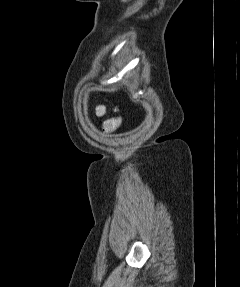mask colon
I'll return each mask as SVG.
<instances>
[{
  "label": "colon",
  "mask_w": 240,
  "mask_h": 287,
  "mask_svg": "<svg viewBox=\"0 0 240 287\" xmlns=\"http://www.w3.org/2000/svg\"><path fill=\"white\" fill-rule=\"evenodd\" d=\"M115 112H117L116 117L108 119L103 123V129L105 131H113V130L117 129L119 127V125L121 124L122 118L119 114V109L115 108Z\"/></svg>",
  "instance_id": "obj_1"
}]
</instances>
